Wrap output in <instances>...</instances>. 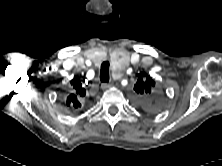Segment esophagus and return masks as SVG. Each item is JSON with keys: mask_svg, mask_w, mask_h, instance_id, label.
Returning a JSON list of instances; mask_svg holds the SVG:
<instances>
[{"mask_svg": "<svg viewBox=\"0 0 222 166\" xmlns=\"http://www.w3.org/2000/svg\"><path fill=\"white\" fill-rule=\"evenodd\" d=\"M113 84L112 83H102L101 87L102 89L110 88Z\"/></svg>", "mask_w": 222, "mask_h": 166, "instance_id": "34e87169", "label": "esophagus"}]
</instances>
